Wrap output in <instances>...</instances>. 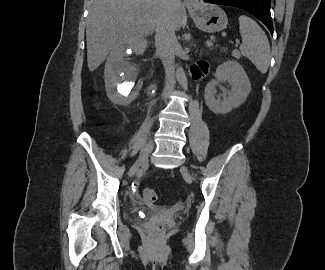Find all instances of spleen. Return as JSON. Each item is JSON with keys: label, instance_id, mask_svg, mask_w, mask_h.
<instances>
[{"label": "spleen", "instance_id": "1", "mask_svg": "<svg viewBox=\"0 0 325 270\" xmlns=\"http://www.w3.org/2000/svg\"><path fill=\"white\" fill-rule=\"evenodd\" d=\"M242 37L240 51L255 67L265 74L270 63V44L265 32L250 17L241 15L238 19Z\"/></svg>", "mask_w": 325, "mask_h": 270}]
</instances>
